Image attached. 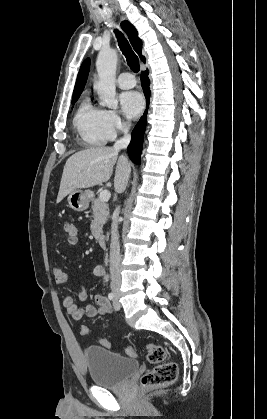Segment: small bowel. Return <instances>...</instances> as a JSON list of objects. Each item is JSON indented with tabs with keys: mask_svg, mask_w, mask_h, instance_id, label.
Segmentation results:
<instances>
[{
	"mask_svg": "<svg viewBox=\"0 0 267 419\" xmlns=\"http://www.w3.org/2000/svg\"><path fill=\"white\" fill-rule=\"evenodd\" d=\"M54 280L57 284L67 283L71 276L60 268H53ZM90 277H96L103 280L104 283L108 282V274L104 266L97 265L89 273ZM87 299V293L84 288L78 294V301L84 302ZM96 305L87 304L79 305L72 296H66L63 299V306L66 312L75 320H80L84 316L96 317L106 315L111 312V305L107 297L103 295L95 296Z\"/></svg>",
	"mask_w": 267,
	"mask_h": 419,
	"instance_id": "c3829d8e",
	"label": "small bowel"
}]
</instances>
